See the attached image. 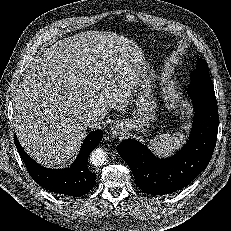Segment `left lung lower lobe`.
I'll use <instances>...</instances> for the list:
<instances>
[{"label":"left lung lower lobe","mask_w":231,"mask_h":231,"mask_svg":"<svg viewBox=\"0 0 231 231\" xmlns=\"http://www.w3.org/2000/svg\"><path fill=\"white\" fill-rule=\"evenodd\" d=\"M189 95L195 109L189 141L174 156L155 157L132 139L123 140L117 151L130 167L137 186L151 195L178 191L193 181L208 165L217 140L218 107L214 86L191 83Z\"/></svg>","instance_id":"0a47b994"}]
</instances>
